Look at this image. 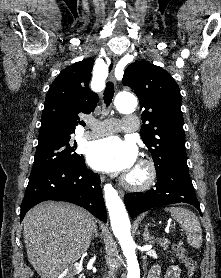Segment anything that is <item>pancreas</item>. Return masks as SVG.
I'll list each match as a JSON object with an SVG mask.
<instances>
[{"instance_id": "obj_1", "label": "pancreas", "mask_w": 221, "mask_h": 278, "mask_svg": "<svg viewBox=\"0 0 221 278\" xmlns=\"http://www.w3.org/2000/svg\"><path fill=\"white\" fill-rule=\"evenodd\" d=\"M169 243L170 242L166 238H158L157 239V244H159L160 247L164 250H166L168 248Z\"/></svg>"}]
</instances>
